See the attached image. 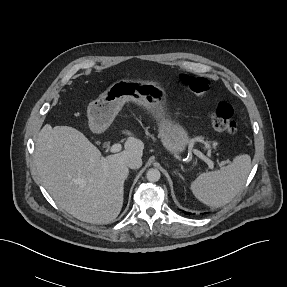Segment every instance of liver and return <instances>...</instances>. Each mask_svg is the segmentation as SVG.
<instances>
[{"label":"liver","mask_w":287,"mask_h":287,"mask_svg":"<svg viewBox=\"0 0 287 287\" xmlns=\"http://www.w3.org/2000/svg\"><path fill=\"white\" fill-rule=\"evenodd\" d=\"M120 153L102 156L82 133L46 124L35 144V164L43 186L59 207L75 218L108 224L124 200L127 160L142 157L144 144L130 131Z\"/></svg>","instance_id":"6515ba94"}]
</instances>
